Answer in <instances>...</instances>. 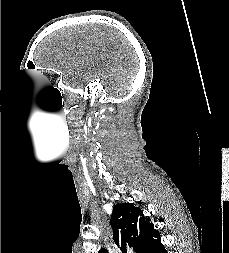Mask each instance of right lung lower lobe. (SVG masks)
Returning a JSON list of instances; mask_svg holds the SVG:
<instances>
[{"mask_svg":"<svg viewBox=\"0 0 229 253\" xmlns=\"http://www.w3.org/2000/svg\"><path fill=\"white\" fill-rule=\"evenodd\" d=\"M148 253H166V250L164 248V246L161 244V242L159 241L158 243H156L154 245L153 248H151Z\"/></svg>","mask_w":229,"mask_h":253,"instance_id":"1","label":"right lung lower lobe"}]
</instances>
